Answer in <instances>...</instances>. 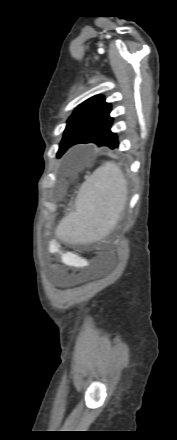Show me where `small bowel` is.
<instances>
[{
	"label": "small bowel",
	"mask_w": 177,
	"mask_h": 440,
	"mask_svg": "<svg viewBox=\"0 0 177 440\" xmlns=\"http://www.w3.org/2000/svg\"><path fill=\"white\" fill-rule=\"evenodd\" d=\"M65 258H66V259H71L72 256H71V255H65Z\"/></svg>",
	"instance_id": "c3829d8e"
}]
</instances>
